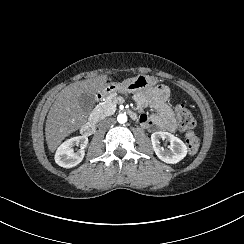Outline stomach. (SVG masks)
Instances as JSON below:
<instances>
[{
  "mask_svg": "<svg viewBox=\"0 0 244 244\" xmlns=\"http://www.w3.org/2000/svg\"><path fill=\"white\" fill-rule=\"evenodd\" d=\"M155 79L152 77H136L134 79H126L122 83H107L105 84L101 89L100 92L104 95H110L115 92H136L141 90L143 87H146L147 85L152 86L155 84Z\"/></svg>",
  "mask_w": 244,
  "mask_h": 244,
  "instance_id": "1",
  "label": "stomach"
}]
</instances>
